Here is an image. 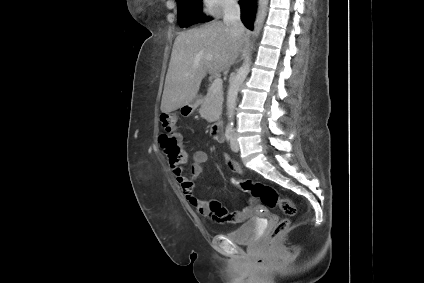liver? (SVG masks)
<instances>
[{"label": "liver", "instance_id": "obj_1", "mask_svg": "<svg viewBox=\"0 0 424 283\" xmlns=\"http://www.w3.org/2000/svg\"><path fill=\"white\" fill-rule=\"evenodd\" d=\"M245 31V30H244ZM221 21L179 33L169 63L161 101L162 113H170L194 101L202 79L228 70L244 42Z\"/></svg>", "mask_w": 424, "mask_h": 283}]
</instances>
